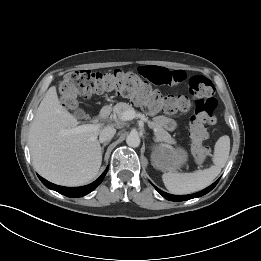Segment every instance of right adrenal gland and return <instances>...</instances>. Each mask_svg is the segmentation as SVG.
<instances>
[{"instance_id": "obj_1", "label": "right adrenal gland", "mask_w": 261, "mask_h": 261, "mask_svg": "<svg viewBox=\"0 0 261 261\" xmlns=\"http://www.w3.org/2000/svg\"><path fill=\"white\" fill-rule=\"evenodd\" d=\"M106 145H108V142L103 143L102 148H101L102 153L104 152V147H105Z\"/></svg>"}]
</instances>
